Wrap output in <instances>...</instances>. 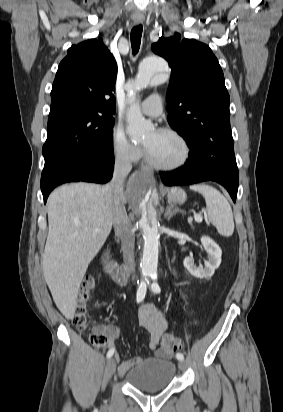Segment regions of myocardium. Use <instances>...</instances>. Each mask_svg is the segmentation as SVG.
Listing matches in <instances>:
<instances>
[{"label":"myocardium","mask_w":283,"mask_h":412,"mask_svg":"<svg viewBox=\"0 0 283 412\" xmlns=\"http://www.w3.org/2000/svg\"><path fill=\"white\" fill-rule=\"evenodd\" d=\"M157 131L174 136L181 143L183 147V157L181 158L179 162L172 164V165L158 164L151 158L147 148L143 146L145 160L148 163V165L154 169L162 170V171H174V170H178L182 168L183 166H185L191 156V148H190V145L187 139L179 131L173 128H170V127H162V128H159Z\"/></svg>","instance_id":"myocardium-1"}]
</instances>
